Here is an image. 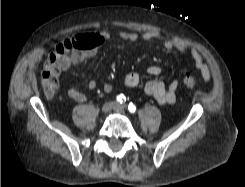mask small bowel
I'll use <instances>...</instances> for the list:
<instances>
[{"mask_svg":"<svg viewBox=\"0 0 245 187\" xmlns=\"http://www.w3.org/2000/svg\"><path fill=\"white\" fill-rule=\"evenodd\" d=\"M118 36L122 40L136 42L139 40L143 41H153L160 39L161 35L157 31H146L143 33H138L136 31L121 30ZM111 39V34L109 32H94L88 34L84 38V47L80 51L72 53L65 62L59 65V71H66L69 68H78L83 62L95 54L97 48L102 43L109 41ZM163 47L166 50H178L181 54L188 56L194 60L195 66L201 73L202 77L205 79L210 78L211 72L208 65L204 62L201 53L192 46H188L180 40L173 38H166L162 42ZM148 74L151 76H157L162 72L160 66L152 65L147 70ZM141 81L140 75L136 72H130L124 77V85L126 87H135L139 85ZM89 87L94 89L96 83L94 81L89 82ZM179 87V81L174 80L168 86L158 80H150L144 86V91L147 95L153 97L159 104H173L176 102V91ZM103 90L105 92H110L112 90L111 84H104ZM67 95L74 101L83 102L86 100L85 94L80 92L75 88H69L67 90Z\"/></svg>","mask_w":245,"mask_h":187,"instance_id":"small-bowel-1","label":"small bowel"}]
</instances>
